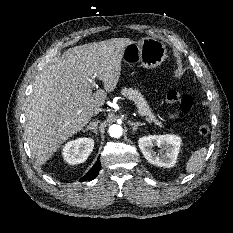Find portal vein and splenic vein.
<instances>
[{"label": "portal vein and splenic vein", "mask_w": 233, "mask_h": 233, "mask_svg": "<svg viewBox=\"0 0 233 233\" xmlns=\"http://www.w3.org/2000/svg\"><path fill=\"white\" fill-rule=\"evenodd\" d=\"M91 83H92V86H95V82H94V81H92ZM146 120H147L148 122H150L149 119L146 118ZM154 123H155L156 125H159V126H160V122L154 121Z\"/></svg>", "instance_id": "1"}]
</instances>
